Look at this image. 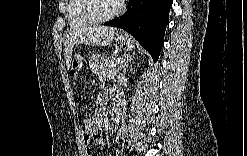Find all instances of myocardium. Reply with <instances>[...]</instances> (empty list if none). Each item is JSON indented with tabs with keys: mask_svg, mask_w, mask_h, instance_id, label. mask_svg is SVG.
Wrapping results in <instances>:
<instances>
[{
	"mask_svg": "<svg viewBox=\"0 0 247 156\" xmlns=\"http://www.w3.org/2000/svg\"><path fill=\"white\" fill-rule=\"evenodd\" d=\"M94 1L92 0H85L82 3V15L85 19H87L91 24H102L105 22H109L118 16L121 15L123 11V4L118 3L115 11L107 16L97 17L91 12V4Z\"/></svg>",
	"mask_w": 247,
	"mask_h": 156,
	"instance_id": "f54148a6",
	"label": "myocardium"
}]
</instances>
